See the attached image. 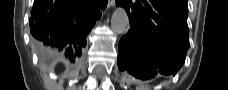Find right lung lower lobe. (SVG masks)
I'll return each mask as SVG.
<instances>
[{
  "instance_id": "obj_1",
  "label": "right lung lower lobe",
  "mask_w": 228,
  "mask_h": 90,
  "mask_svg": "<svg viewBox=\"0 0 228 90\" xmlns=\"http://www.w3.org/2000/svg\"><path fill=\"white\" fill-rule=\"evenodd\" d=\"M106 6L107 0H34L29 19L31 35L73 62L81 56L86 36Z\"/></svg>"
}]
</instances>
